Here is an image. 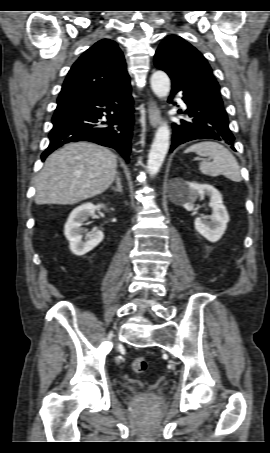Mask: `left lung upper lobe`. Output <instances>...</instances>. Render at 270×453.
<instances>
[{
    "instance_id": "1",
    "label": "left lung upper lobe",
    "mask_w": 270,
    "mask_h": 453,
    "mask_svg": "<svg viewBox=\"0 0 270 453\" xmlns=\"http://www.w3.org/2000/svg\"><path fill=\"white\" fill-rule=\"evenodd\" d=\"M154 63L173 83L194 96L223 106L220 87L204 56L179 36L166 37L156 51Z\"/></svg>"
}]
</instances>
